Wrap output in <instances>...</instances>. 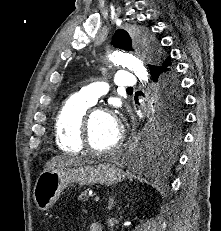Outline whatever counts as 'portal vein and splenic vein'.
I'll use <instances>...</instances> for the list:
<instances>
[{
    "label": "portal vein and splenic vein",
    "mask_w": 221,
    "mask_h": 231,
    "mask_svg": "<svg viewBox=\"0 0 221 231\" xmlns=\"http://www.w3.org/2000/svg\"><path fill=\"white\" fill-rule=\"evenodd\" d=\"M100 200V197L98 195L94 196V201L98 202Z\"/></svg>",
    "instance_id": "portal-vein-and-splenic-vein-1"
}]
</instances>
